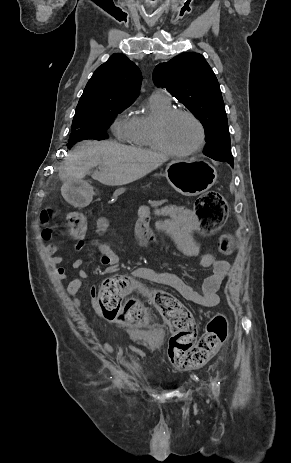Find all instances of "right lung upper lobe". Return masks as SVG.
Returning <instances> with one entry per match:
<instances>
[{
	"instance_id": "obj_1",
	"label": "right lung upper lobe",
	"mask_w": 291,
	"mask_h": 463,
	"mask_svg": "<svg viewBox=\"0 0 291 463\" xmlns=\"http://www.w3.org/2000/svg\"><path fill=\"white\" fill-rule=\"evenodd\" d=\"M141 81L142 75L135 63L115 53L93 73L75 114L93 111L106 102L132 104L139 95Z\"/></svg>"
}]
</instances>
